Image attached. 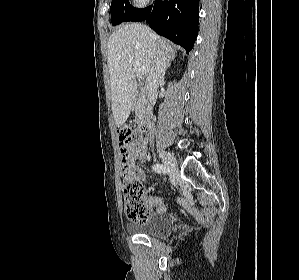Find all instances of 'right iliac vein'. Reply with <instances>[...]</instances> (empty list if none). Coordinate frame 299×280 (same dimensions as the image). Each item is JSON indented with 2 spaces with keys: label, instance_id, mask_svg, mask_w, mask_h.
Returning <instances> with one entry per match:
<instances>
[{
  "label": "right iliac vein",
  "instance_id": "1",
  "mask_svg": "<svg viewBox=\"0 0 299 280\" xmlns=\"http://www.w3.org/2000/svg\"><path fill=\"white\" fill-rule=\"evenodd\" d=\"M159 155L166 166H168L173 171L177 170V162L172 154L167 151L161 150L159 152Z\"/></svg>",
  "mask_w": 299,
  "mask_h": 280
}]
</instances>
